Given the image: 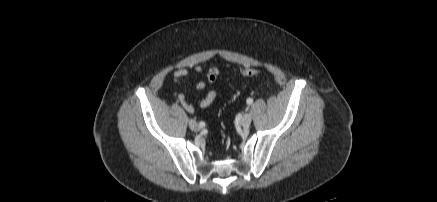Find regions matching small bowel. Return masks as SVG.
<instances>
[{
  "label": "small bowel",
  "instance_id": "1",
  "mask_svg": "<svg viewBox=\"0 0 437 202\" xmlns=\"http://www.w3.org/2000/svg\"><path fill=\"white\" fill-rule=\"evenodd\" d=\"M194 72L199 75L202 72L201 67H196ZM190 75V71L186 68L177 69L173 72V77L177 82H180L182 79L188 77ZM219 75V69L214 67L208 70L206 74V79L209 82H215ZM206 87L205 81L202 78H198L196 83V88L198 90H204ZM218 98V92L215 90L209 91L206 96L199 100L197 103L188 102L185 94H179L178 102L180 105L189 113H193L196 107L199 108H207L209 107L216 99Z\"/></svg>",
  "mask_w": 437,
  "mask_h": 202
}]
</instances>
